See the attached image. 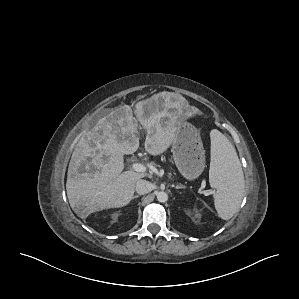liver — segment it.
<instances>
[{
    "mask_svg": "<svg viewBox=\"0 0 299 299\" xmlns=\"http://www.w3.org/2000/svg\"><path fill=\"white\" fill-rule=\"evenodd\" d=\"M140 101L136 117L130 106L114 108L78 141L68 167L66 190L72 210L81 219L91 213L127 205L145 173L123 171L125 154L139 148V130L146 132L145 150L160 155L172 144L175 121L164 122L169 103Z\"/></svg>",
    "mask_w": 299,
    "mask_h": 299,
    "instance_id": "6515ba94",
    "label": "liver"
}]
</instances>
